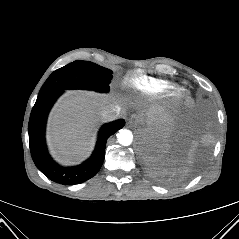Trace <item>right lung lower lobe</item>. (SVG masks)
Wrapping results in <instances>:
<instances>
[{"instance_id": "obj_1", "label": "right lung lower lobe", "mask_w": 239, "mask_h": 239, "mask_svg": "<svg viewBox=\"0 0 239 239\" xmlns=\"http://www.w3.org/2000/svg\"><path fill=\"white\" fill-rule=\"evenodd\" d=\"M63 91H54L38 96L31 111L28 133L30 151L37 168L50 180L63 185H74L87 181L97 174L105 157L107 139L124 127V120L105 124L99 134L92 156L75 167H62L48 154L45 144V125L48 112Z\"/></svg>"}]
</instances>
